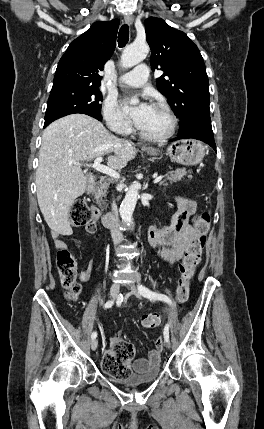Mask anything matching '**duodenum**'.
I'll return each mask as SVG.
<instances>
[{
  "instance_id": "obj_1",
  "label": "duodenum",
  "mask_w": 264,
  "mask_h": 429,
  "mask_svg": "<svg viewBox=\"0 0 264 429\" xmlns=\"http://www.w3.org/2000/svg\"><path fill=\"white\" fill-rule=\"evenodd\" d=\"M95 181H96L95 177H93V176L89 177L88 183H87V192L88 193L93 192ZM114 214H115L114 212H107L106 214L100 216L101 222L105 227H111L112 225L110 223L112 221L115 223V221L113 220Z\"/></svg>"
}]
</instances>
